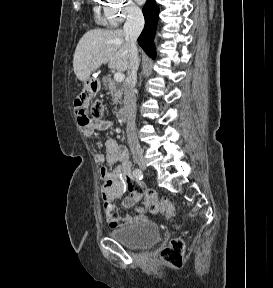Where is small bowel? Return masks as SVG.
<instances>
[{"label": "small bowel", "instance_id": "1", "mask_svg": "<svg viewBox=\"0 0 273 288\" xmlns=\"http://www.w3.org/2000/svg\"><path fill=\"white\" fill-rule=\"evenodd\" d=\"M112 122L104 118L103 114L93 116L92 120L81 130L85 137L90 138L95 130H107ZM105 155H96V160L102 164L100 175L103 180L101 197L104 213L108 224L112 228L141 223L146 220V207L152 213H158L157 194L145 187L131 172V162L126 149L116 140L108 139L105 142ZM117 164V165H115ZM126 192L129 194L123 198L122 206L131 208L144 199L146 206H139L137 214L119 216L113 202L122 198Z\"/></svg>", "mask_w": 273, "mask_h": 288}]
</instances>
